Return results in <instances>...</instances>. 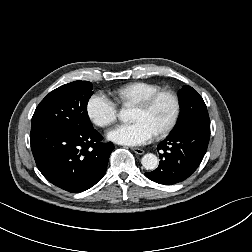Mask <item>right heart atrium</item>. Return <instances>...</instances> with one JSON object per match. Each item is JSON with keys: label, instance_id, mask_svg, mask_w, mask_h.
<instances>
[{"label": "right heart atrium", "instance_id": "1", "mask_svg": "<svg viewBox=\"0 0 252 252\" xmlns=\"http://www.w3.org/2000/svg\"><path fill=\"white\" fill-rule=\"evenodd\" d=\"M86 114L98 127L111 125L118 116L117 104L102 92L92 94L86 103Z\"/></svg>", "mask_w": 252, "mask_h": 252}]
</instances>
